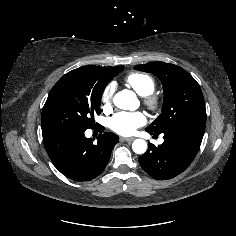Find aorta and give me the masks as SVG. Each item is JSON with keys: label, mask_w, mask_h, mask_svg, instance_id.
I'll return each instance as SVG.
<instances>
[{"label": "aorta", "mask_w": 236, "mask_h": 236, "mask_svg": "<svg viewBox=\"0 0 236 236\" xmlns=\"http://www.w3.org/2000/svg\"><path fill=\"white\" fill-rule=\"evenodd\" d=\"M133 99L134 95L131 91L122 90L114 96L113 102L118 108L127 109ZM132 149L136 154H144L147 150V142L143 139H136L132 143Z\"/></svg>", "instance_id": "obj_1"}]
</instances>
